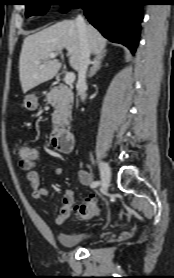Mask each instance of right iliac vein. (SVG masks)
Instances as JSON below:
<instances>
[{"label": "right iliac vein", "mask_w": 174, "mask_h": 278, "mask_svg": "<svg viewBox=\"0 0 174 278\" xmlns=\"http://www.w3.org/2000/svg\"><path fill=\"white\" fill-rule=\"evenodd\" d=\"M100 169H101L102 187L104 190H107L111 181V170L108 164L105 162L100 163Z\"/></svg>", "instance_id": "1"}]
</instances>
